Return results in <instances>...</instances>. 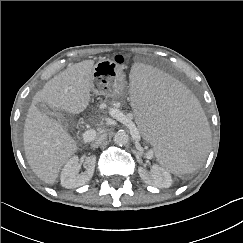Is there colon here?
I'll list each match as a JSON object with an SVG mask.
<instances>
[{
  "instance_id": "1",
  "label": "colon",
  "mask_w": 243,
  "mask_h": 243,
  "mask_svg": "<svg viewBox=\"0 0 243 243\" xmlns=\"http://www.w3.org/2000/svg\"><path fill=\"white\" fill-rule=\"evenodd\" d=\"M114 61L118 65H122L124 63V57L122 55H117V56H115Z\"/></svg>"
}]
</instances>
